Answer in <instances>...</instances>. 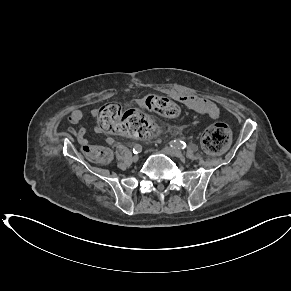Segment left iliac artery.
I'll return each mask as SVG.
<instances>
[{"mask_svg": "<svg viewBox=\"0 0 291 291\" xmlns=\"http://www.w3.org/2000/svg\"><path fill=\"white\" fill-rule=\"evenodd\" d=\"M170 146L173 148L185 149L187 144L182 140H173L170 142Z\"/></svg>", "mask_w": 291, "mask_h": 291, "instance_id": "obj_1", "label": "left iliac artery"}]
</instances>
